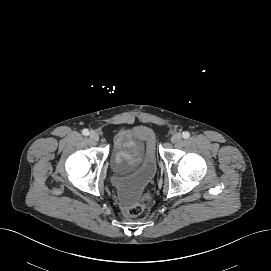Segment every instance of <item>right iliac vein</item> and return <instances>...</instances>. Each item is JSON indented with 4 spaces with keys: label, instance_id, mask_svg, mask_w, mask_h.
<instances>
[{
    "label": "right iliac vein",
    "instance_id": "1",
    "mask_svg": "<svg viewBox=\"0 0 271 271\" xmlns=\"http://www.w3.org/2000/svg\"><path fill=\"white\" fill-rule=\"evenodd\" d=\"M89 137L92 141H98L99 140V136L95 131H91L89 134Z\"/></svg>",
    "mask_w": 271,
    "mask_h": 271
}]
</instances>
